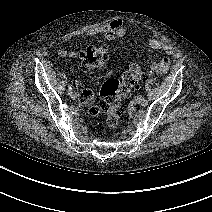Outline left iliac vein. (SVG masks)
Listing matches in <instances>:
<instances>
[{
	"instance_id": "1",
	"label": "left iliac vein",
	"mask_w": 212,
	"mask_h": 212,
	"mask_svg": "<svg viewBox=\"0 0 212 212\" xmlns=\"http://www.w3.org/2000/svg\"><path fill=\"white\" fill-rule=\"evenodd\" d=\"M136 103L139 105H142V97L141 96L136 98Z\"/></svg>"
}]
</instances>
